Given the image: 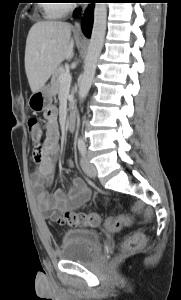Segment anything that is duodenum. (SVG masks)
Masks as SVG:
<instances>
[{"instance_id":"410a0bca","label":"duodenum","mask_w":181,"mask_h":300,"mask_svg":"<svg viewBox=\"0 0 181 300\" xmlns=\"http://www.w3.org/2000/svg\"><path fill=\"white\" fill-rule=\"evenodd\" d=\"M66 126L69 131H73L76 126V114L73 110L70 109L68 116H67V121H66Z\"/></svg>"}]
</instances>
